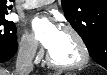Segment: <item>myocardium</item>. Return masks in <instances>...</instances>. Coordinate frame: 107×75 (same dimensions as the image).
<instances>
[{"label": "myocardium", "mask_w": 107, "mask_h": 75, "mask_svg": "<svg viewBox=\"0 0 107 75\" xmlns=\"http://www.w3.org/2000/svg\"><path fill=\"white\" fill-rule=\"evenodd\" d=\"M62 31L70 34L75 39L80 50V59L72 64H58L52 59L49 52L46 57L47 64L56 70H74L83 67L88 63L90 58L89 49L85 40L83 39L81 34L70 25L64 26L62 28Z\"/></svg>", "instance_id": "obj_1"}]
</instances>
